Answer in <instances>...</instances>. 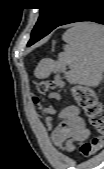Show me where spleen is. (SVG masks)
Masks as SVG:
<instances>
[{"label": "spleen", "mask_w": 104, "mask_h": 169, "mask_svg": "<svg viewBox=\"0 0 104 169\" xmlns=\"http://www.w3.org/2000/svg\"><path fill=\"white\" fill-rule=\"evenodd\" d=\"M63 40L64 51L58 61L43 59L35 70L38 78L51 72H62L70 84L97 87L104 72V27L94 23H79L68 29ZM66 66L71 70L66 71Z\"/></svg>", "instance_id": "1"}]
</instances>
